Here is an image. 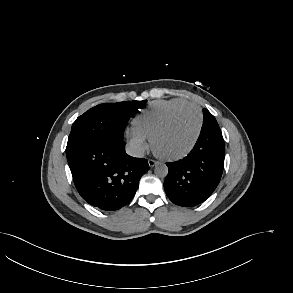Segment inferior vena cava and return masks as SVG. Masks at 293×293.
Listing matches in <instances>:
<instances>
[{"label": "inferior vena cava", "mask_w": 293, "mask_h": 293, "mask_svg": "<svg viewBox=\"0 0 293 293\" xmlns=\"http://www.w3.org/2000/svg\"><path fill=\"white\" fill-rule=\"evenodd\" d=\"M126 152L128 155L142 158L145 155V150L142 146H136V145H129L126 147Z\"/></svg>", "instance_id": "obj_1"}]
</instances>
